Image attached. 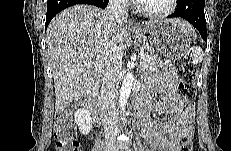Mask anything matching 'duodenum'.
I'll return each mask as SVG.
<instances>
[{"label": "duodenum", "mask_w": 231, "mask_h": 151, "mask_svg": "<svg viewBox=\"0 0 231 151\" xmlns=\"http://www.w3.org/2000/svg\"><path fill=\"white\" fill-rule=\"evenodd\" d=\"M94 95H95V89L92 90L89 97H87L84 101L81 103L83 106L89 108L91 110V113L93 115V118L95 121H101L103 119L104 113L101 109H99L94 102ZM137 108L139 111V114L142 115L143 109L141 103H137Z\"/></svg>", "instance_id": "1"}]
</instances>
